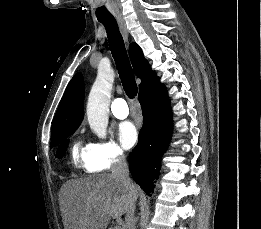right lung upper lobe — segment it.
<instances>
[{
    "label": "right lung upper lobe",
    "instance_id": "cb5924a9",
    "mask_svg": "<svg viewBox=\"0 0 261 229\" xmlns=\"http://www.w3.org/2000/svg\"><path fill=\"white\" fill-rule=\"evenodd\" d=\"M129 55L136 75L141 79L139 93L157 82L159 78L152 71L148 61L144 58L142 50L136 43H131ZM84 82L80 73L69 82L55 114L52 130L61 125H77L83 120ZM61 143L53 134L51 147Z\"/></svg>",
    "mask_w": 261,
    "mask_h": 229
}]
</instances>
